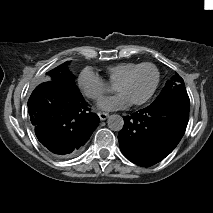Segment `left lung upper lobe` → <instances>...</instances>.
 <instances>
[{
  "label": "left lung upper lobe",
  "instance_id": "5c2ea615",
  "mask_svg": "<svg viewBox=\"0 0 213 213\" xmlns=\"http://www.w3.org/2000/svg\"><path fill=\"white\" fill-rule=\"evenodd\" d=\"M167 98H177L190 104L183 79L176 73L165 85L153 103H158ZM152 103V104H153Z\"/></svg>",
  "mask_w": 213,
  "mask_h": 213
}]
</instances>
